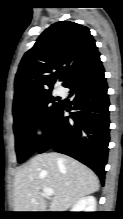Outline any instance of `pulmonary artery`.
Here are the masks:
<instances>
[{"label": "pulmonary artery", "mask_w": 123, "mask_h": 219, "mask_svg": "<svg viewBox=\"0 0 123 219\" xmlns=\"http://www.w3.org/2000/svg\"><path fill=\"white\" fill-rule=\"evenodd\" d=\"M58 93H61V91H60V90H58Z\"/></svg>", "instance_id": "e3ab8cb5"}]
</instances>
